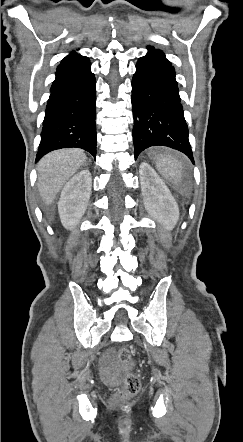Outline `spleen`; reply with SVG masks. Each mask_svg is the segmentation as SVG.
Wrapping results in <instances>:
<instances>
[{"label": "spleen", "instance_id": "3e777b00", "mask_svg": "<svg viewBox=\"0 0 243 442\" xmlns=\"http://www.w3.org/2000/svg\"><path fill=\"white\" fill-rule=\"evenodd\" d=\"M156 167L160 175L169 182L179 183L181 179V164L171 155H158Z\"/></svg>", "mask_w": 243, "mask_h": 442}]
</instances>
